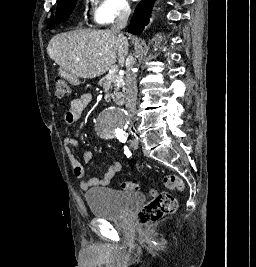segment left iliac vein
<instances>
[{
    "mask_svg": "<svg viewBox=\"0 0 256 267\" xmlns=\"http://www.w3.org/2000/svg\"><path fill=\"white\" fill-rule=\"evenodd\" d=\"M131 146L133 149L137 150L139 146L138 140L137 139L131 140Z\"/></svg>",
    "mask_w": 256,
    "mask_h": 267,
    "instance_id": "4c4485c4",
    "label": "left iliac vein"
}]
</instances>
